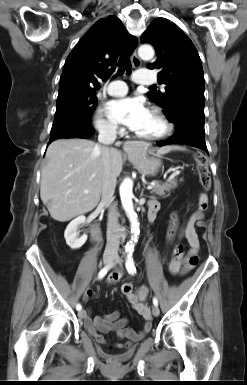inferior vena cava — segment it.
Here are the masks:
<instances>
[{
  "instance_id": "602c4592",
  "label": "inferior vena cava",
  "mask_w": 247,
  "mask_h": 385,
  "mask_svg": "<svg viewBox=\"0 0 247 385\" xmlns=\"http://www.w3.org/2000/svg\"><path fill=\"white\" fill-rule=\"evenodd\" d=\"M116 126L112 124H106L99 128L98 141L101 144L104 152L102 155L104 165V176L102 180V198L101 202L109 207L108 223H107V244L104 252V256H116L118 254L120 237H119V224L116 207L113 205L114 191L116 187V176L111 172L110 168V156L109 145L113 144L116 140Z\"/></svg>"
}]
</instances>
